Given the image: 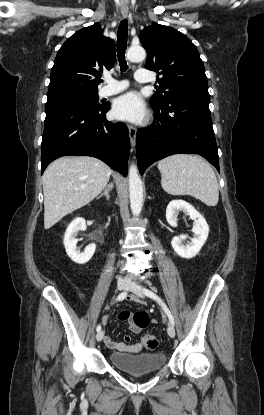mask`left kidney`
<instances>
[{
    "instance_id": "5707ae66",
    "label": "left kidney",
    "mask_w": 264,
    "mask_h": 415,
    "mask_svg": "<svg viewBox=\"0 0 264 415\" xmlns=\"http://www.w3.org/2000/svg\"><path fill=\"white\" fill-rule=\"evenodd\" d=\"M179 211L185 212L194 220V226L192 228L194 236L191 238V242L185 245L183 241L187 239V235L175 236L171 241V245L177 255L190 259L199 253L206 242L209 234V226L205 218L191 204L184 200H172L166 209V219L172 227H177Z\"/></svg>"
}]
</instances>
